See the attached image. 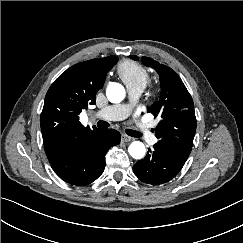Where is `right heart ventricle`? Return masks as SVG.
<instances>
[{
	"label": "right heart ventricle",
	"instance_id": "e07e8e85",
	"mask_svg": "<svg viewBox=\"0 0 243 243\" xmlns=\"http://www.w3.org/2000/svg\"><path fill=\"white\" fill-rule=\"evenodd\" d=\"M118 73L127 87H140L142 89L149 82V73L141 64L125 60L118 66Z\"/></svg>",
	"mask_w": 243,
	"mask_h": 243
}]
</instances>
